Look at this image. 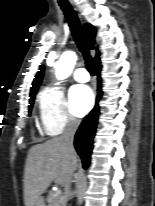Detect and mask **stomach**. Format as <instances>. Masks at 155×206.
Segmentation results:
<instances>
[{
  "label": "stomach",
  "instance_id": "0dacf381",
  "mask_svg": "<svg viewBox=\"0 0 155 206\" xmlns=\"http://www.w3.org/2000/svg\"><path fill=\"white\" fill-rule=\"evenodd\" d=\"M34 206H45L44 199L42 197H39Z\"/></svg>",
  "mask_w": 155,
  "mask_h": 206
}]
</instances>
